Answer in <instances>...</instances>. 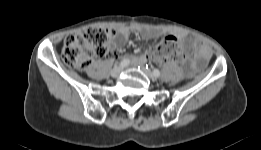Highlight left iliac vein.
<instances>
[{
    "instance_id": "left-iliac-vein-1",
    "label": "left iliac vein",
    "mask_w": 261,
    "mask_h": 150,
    "mask_svg": "<svg viewBox=\"0 0 261 150\" xmlns=\"http://www.w3.org/2000/svg\"><path fill=\"white\" fill-rule=\"evenodd\" d=\"M141 71L150 79H155V76L153 75V73L151 72L150 69H147L144 65H140Z\"/></svg>"
}]
</instances>
